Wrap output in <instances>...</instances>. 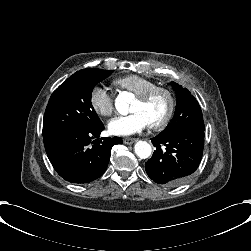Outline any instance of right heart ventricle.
<instances>
[{"instance_id":"e07e8e85","label":"right heart ventricle","mask_w":251,"mask_h":251,"mask_svg":"<svg viewBox=\"0 0 251 251\" xmlns=\"http://www.w3.org/2000/svg\"><path fill=\"white\" fill-rule=\"evenodd\" d=\"M114 83L117 86L127 89L136 95H139L156 85V83L151 79L137 74H129L118 78Z\"/></svg>"}]
</instances>
